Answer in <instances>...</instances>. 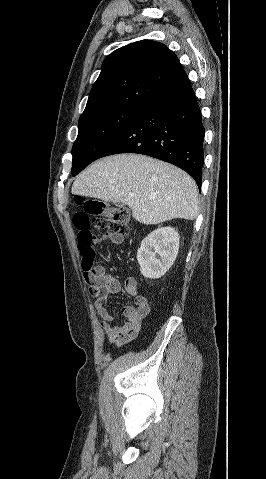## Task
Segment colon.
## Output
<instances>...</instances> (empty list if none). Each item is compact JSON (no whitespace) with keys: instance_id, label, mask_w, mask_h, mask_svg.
I'll use <instances>...</instances> for the list:
<instances>
[{"instance_id":"1","label":"colon","mask_w":266,"mask_h":479,"mask_svg":"<svg viewBox=\"0 0 266 479\" xmlns=\"http://www.w3.org/2000/svg\"><path fill=\"white\" fill-rule=\"evenodd\" d=\"M82 207L73 216V225L77 232V245L81 254V269L89 285L92 296L98 294L97 282L93 275L96 251L91 245V229L107 230L112 234L126 238L128 236V211L125 208L110 205L98 199H75Z\"/></svg>"}]
</instances>
